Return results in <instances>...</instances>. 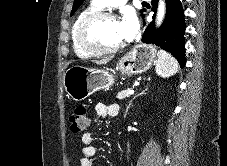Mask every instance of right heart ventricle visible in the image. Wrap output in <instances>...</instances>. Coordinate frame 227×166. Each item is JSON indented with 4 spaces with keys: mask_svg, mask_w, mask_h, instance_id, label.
Here are the masks:
<instances>
[{
    "mask_svg": "<svg viewBox=\"0 0 227 166\" xmlns=\"http://www.w3.org/2000/svg\"><path fill=\"white\" fill-rule=\"evenodd\" d=\"M102 8H100L99 6H97L94 2H92L87 8H85L83 11H81L78 16L76 17L74 23H73V26L71 28V33H70V36H71V43H72V48H73V51L75 52V54L79 57H82V58H89V57H92L93 54L82 49L78 43H77V40H76V30H77V26L78 24L80 23V21L86 17L88 14H91L93 12H96V11H100Z\"/></svg>",
    "mask_w": 227,
    "mask_h": 166,
    "instance_id": "1",
    "label": "right heart ventricle"
}]
</instances>
